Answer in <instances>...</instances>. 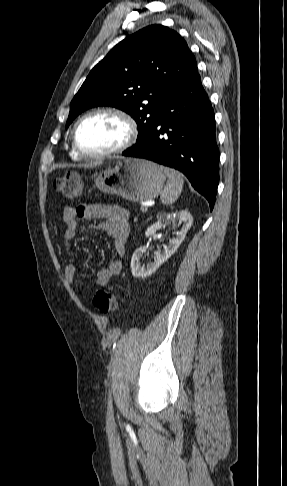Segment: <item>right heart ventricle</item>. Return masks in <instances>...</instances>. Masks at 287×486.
Here are the masks:
<instances>
[{"label":"right heart ventricle","instance_id":"e07e8e85","mask_svg":"<svg viewBox=\"0 0 287 486\" xmlns=\"http://www.w3.org/2000/svg\"><path fill=\"white\" fill-rule=\"evenodd\" d=\"M70 154L73 156V157H78L79 155L74 151V149L72 148L71 149V152Z\"/></svg>","mask_w":287,"mask_h":486}]
</instances>
